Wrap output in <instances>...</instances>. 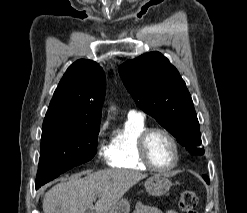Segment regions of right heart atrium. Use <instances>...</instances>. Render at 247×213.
Here are the masks:
<instances>
[{
    "label": "right heart atrium",
    "mask_w": 247,
    "mask_h": 213,
    "mask_svg": "<svg viewBox=\"0 0 247 213\" xmlns=\"http://www.w3.org/2000/svg\"><path fill=\"white\" fill-rule=\"evenodd\" d=\"M105 128H106V125H103L100 128L99 135H101V133L104 131ZM97 154L101 160H109V157H110L109 149L105 144L101 142L98 143Z\"/></svg>",
    "instance_id": "obj_1"
}]
</instances>
